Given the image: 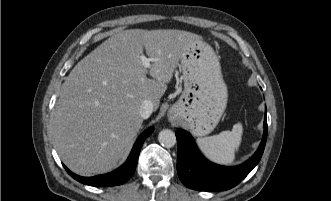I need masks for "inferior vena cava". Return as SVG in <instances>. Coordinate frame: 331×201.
Segmentation results:
<instances>
[{
    "instance_id": "obj_1",
    "label": "inferior vena cava",
    "mask_w": 331,
    "mask_h": 201,
    "mask_svg": "<svg viewBox=\"0 0 331 201\" xmlns=\"http://www.w3.org/2000/svg\"><path fill=\"white\" fill-rule=\"evenodd\" d=\"M153 109V103L150 100H144L140 108L141 117L143 119L149 118Z\"/></svg>"
}]
</instances>
